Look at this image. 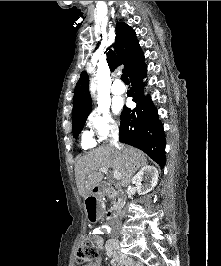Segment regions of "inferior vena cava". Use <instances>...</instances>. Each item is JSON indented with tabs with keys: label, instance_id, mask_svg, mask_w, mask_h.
<instances>
[{
	"label": "inferior vena cava",
	"instance_id": "inferior-vena-cava-1",
	"mask_svg": "<svg viewBox=\"0 0 221 266\" xmlns=\"http://www.w3.org/2000/svg\"><path fill=\"white\" fill-rule=\"evenodd\" d=\"M118 139H119V135H118V131L114 130L112 131V135H111V140L110 143L113 144L115 147H117L118 149H120V146L118 145ZM120 220L119 219H115L113 222V227H119L120 226Z\"/></svg>",
	"mask_w": 221,
	"mask_h": 266
}]
</instances>
